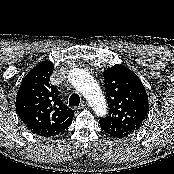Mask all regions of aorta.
<instances>
[{
  "label": "aorta",
  "mask_w": 174,
  "mask_h": 174,
  "mask_svg": "<svg viewBox=\"0 0 174 174\" xmlns=\"http://www.w3.org/2000/svg\"><path fill=\"white\" fill-rule=\"evenodd\" d=\"M68 80L83 94L97 115L105 116L107 114L105 97L97 82L87 71L73 68L69 71Z\"/></svg>",
  "instance_id": "762f6f07"
}]
</instances>
